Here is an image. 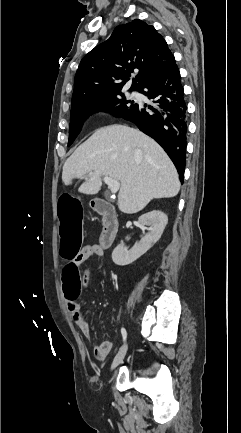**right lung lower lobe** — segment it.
<instances>
[{"instance_id": "right-lung-lower-lobe-1", "label": "right lung lower lobe", "mask_w": 241, "mask_h": 433, "mask_svg": "<svg viewBox=\"0 0 241 433\" xmlns=\"http://www.w3.org/2000/svg\"><path fill=\"white\" fill-rule=\"evenodd\" d=\"M144 88L147 89L146 92L143 91ZM140 92L154 100L155 108L149 106V111L146 105L137 104L123 118L136 124L163 147L183 181L188 129L187 105L176 63L144 85Z\"/></svg>"}]
</instances>
